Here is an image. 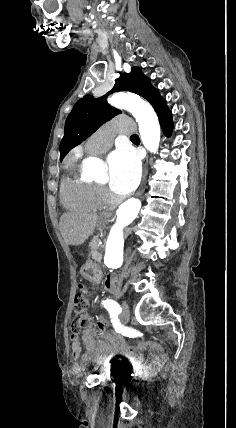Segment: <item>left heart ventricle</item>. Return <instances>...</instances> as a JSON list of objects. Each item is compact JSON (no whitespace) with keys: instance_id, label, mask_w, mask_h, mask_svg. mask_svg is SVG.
<instances>
[{"instance_id":"1","label":"left heart ventricle","mask_w":236,"mask_h":428,"mask_svg":"<svg viewBox=\"0 0 236 428\" xmlns=\"http://www.w3.org/2000/svg\"><path fill=\"white\" fill-rule=\"evenodd\" d=\"M106 180H107V173L105 175H103V176H100L96 181L99 184H104L106 182Z\"/></svg>"}]
</instances>
